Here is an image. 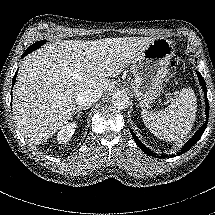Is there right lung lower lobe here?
<instances>
[{"instance_id":"obj_1","label":"right lung lower lobe","mask_w":215,"mask_h":215,"mask_svg":"<svg viewBox=\"0 0 215 215\" xmlns=\"http://www.w3.org/2000/svg\"><path fill=\"white\" fill-rule=\"evenodd\" d=\"M27 54H29V53H27V51H25V53L22 55V57H25ZM16 75H17V71H16V73L14 75V78H13V81H12V85L15 83ZM11 94H12V92H11ZM11 97H12V95H11ZM11 101H12V98H11Z\"/></svg>"}]
</instances>
